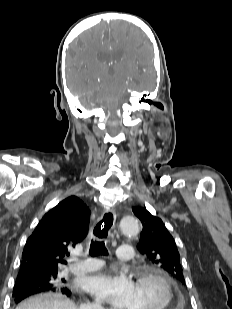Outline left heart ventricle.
I'll return each instance as SVG.
<instances>
[{"mask_svg": "<svg viewBox=\"0 0 232 309\" xmlns=\"http://www.w3.org/2000/svg\"><path fill=\"white\" fill-rule=\"evenodd\" d=\"M164 302L163 288L153 280L136 282L130 309H159Z\"/></svg>", "mask_w": 232, "mask_h": 309, "instance_id": "1", "label": "left heart ventricle"}]
</instances>
